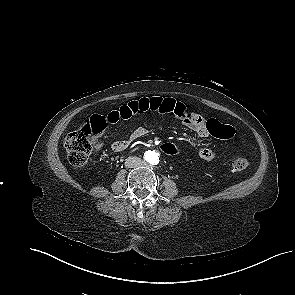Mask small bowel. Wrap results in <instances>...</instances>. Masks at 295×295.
<instances>
[{
    "instance_id": "small-bowel-1",
    "label": "small bowel",
    "mask_w": 295,
    "mask_h": 295,
    "mask_svg": "<svg viewBox=\"0 0 295 295\" xmlns=\"http://www.w3.org/2000/svg\"><path fill=\"white\" fill-rule=\"evenodd\" d=\"M146 112H156L158 114H173L176 119L186 128L195 132L199 137H207L210 132L207 128L206 120L201 115L188 109V106L174 98L165 97H143L128 102L116 110H112L102 116L108 124H115L120 120H128L136 115ZM148 130L144 127L136 128L129 138L118 140L112 143L111 149L115 153H121L127 150L131 144L144 137ZM199 157L204 161H212L216 157L215 151L208 147H201L198 151Z\"/></svg>"
}]
</instances>
